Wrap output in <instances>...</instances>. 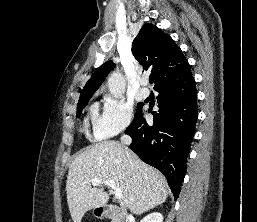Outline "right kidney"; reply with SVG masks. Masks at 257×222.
I'll list each match as a JSON object with an SVG mask.
<instances>
[{
    "mask_svg": "<svg viewBox=\"0 0 257 222\" xmlns=\"http://www.w3.org/2000/svg\"><path fill=\"white\" fill-rule=\"evenodd\" d=\"M140 222H163V215L159 212H154L144 217Z\"/></svg>",
    "mask_w": 257,
    "mask_h": 222,
    "instance_id": "1",
    "label": "right kidney"
}]
</instances>
